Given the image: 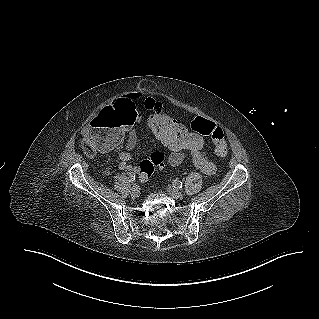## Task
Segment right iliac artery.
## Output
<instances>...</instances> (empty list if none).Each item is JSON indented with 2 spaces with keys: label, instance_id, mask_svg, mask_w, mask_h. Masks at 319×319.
I'll return each instance as SVG.
<instances>
[{
  "label": "right iliac artery",
  "instance_id": "right-iliac-artery-1",
  "mask_svg": "<svg viewBox=\"0 0 319 319\" xmlns=\"http://www.w3.org/2000/svg\"><path fill=\"white\" fill-rule=\"evenodd\" d=\"M130 180H131V181H134V180H135V174H134V173L130 174Z\"/></svg>",
  "mask_w": 319,
  "mask_h": 319
}]
</instances>
